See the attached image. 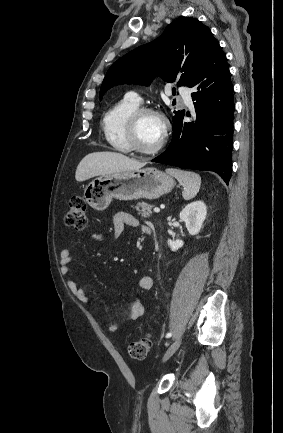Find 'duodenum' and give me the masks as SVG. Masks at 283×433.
Listing matches in <instances>:
<instances>
[{
    "mask_svg": "<svg viewBox=\"0 0 283 433\" xmlns=\"http://www.w3.org/2000/svg\"><path fill=\"white\" fill-rule=\"evenodd\" d=\"M148 233L150 234V233H151V230H149Z\"/></svg>",
    "mask_w": 283,
    "mask_h": 433,
    "instance_id": "obj_1",
    "label": "duodenum"
}]
</instances>
